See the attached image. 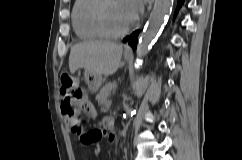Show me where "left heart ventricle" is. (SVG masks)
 <instances>
[{
  "label": "left heart ventricle",
  "instance_id": "obj_1",
  "mask_svg": "<svg viewBox=\"0 0 242 160\" xmlns=\"http://www.w3.org/2000/svg\"><path fill=\"white\" fill-rule=\"evenodd\" d=\"M102 15L106 29L112 33H118L130 24L120 0H107Z\"/></svg>",
  "mask_w": 242,
  "mask_h": 160
}]
</instances>
